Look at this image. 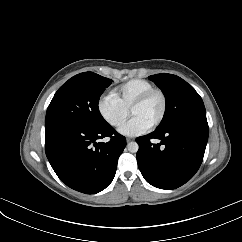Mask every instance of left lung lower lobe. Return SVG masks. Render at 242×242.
I'll use <instances>...</instances> for the list:
<instances>
[{"label": "left lung lower lobe", "mask_w": 242, "mask_h": 242, "mask_svg": "<svg viewBox=\"0 0 242 242\" xmlns=\"http://www.w3.org/2000/svg\"><path fill=\"white\" fill-rule=\"evenodd\" d=\"M208 134L206 117H191L138 137L136 158L145 180L160 189H175L185 184L202 163ZM152 138L161 142L152 144Z\"/></svg>", "instance_id": "obj_1"}]
</instances>
